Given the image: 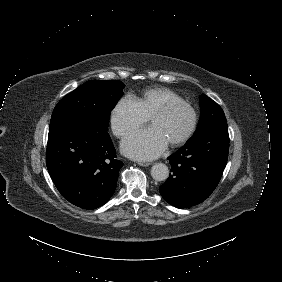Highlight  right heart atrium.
<instances>
[{
  "label": "right heart atrium",
  "mask_w": 282,
  "mask_h": 282,
  "mask_svg": "<svg viewBox=\"0 0 282 282\" xmlns=\"http://www.w3.org/2000/svg\"><path fill=\"white\" fill-rule=\"evenodd\" d=\"M147 121V116L141 111L136 101L129 96L120 100L111 112V127L117 137L126 136Z\"/></svg>",
  "instance_id": "d8ad5b80"
}]
</instances>
